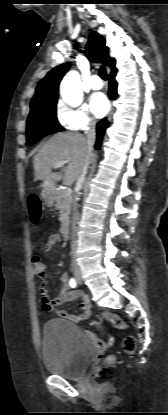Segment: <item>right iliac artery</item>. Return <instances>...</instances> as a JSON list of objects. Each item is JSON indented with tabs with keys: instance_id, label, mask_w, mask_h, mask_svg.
Instances as JSON below:
<instances>
[{
	"instance_id": "obj_1",
	"label": "right iliac artery",
	"mask_w": 168,
	"mask_h": 415,
	"mask_svg": "<svg viewBox=\"0 0 168 415\" xmlns=\"http://www.w3.org/2000/svg\"><path fill=\"white\" fill-rule=\"evenodd\" d=\"M69 284L72 288H75L77 286V282L74 278L70 279Z\"/></svg>"
}]
</instances>
